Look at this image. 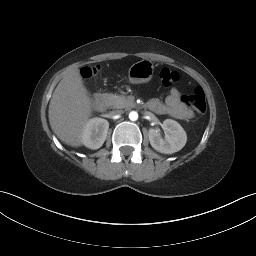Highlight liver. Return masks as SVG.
I'll list each match as a JSON object with an SVG mask.
<instances>
[{"label":"liver","instance_id":"1","mask_svg":"<svg viewBox=\"0 0 256 256\" xmlns=\"http://www.w3.org/2000/svg\"><path fill=\"white\" fill-rule=\"evenodd\" d=\"M48 114L51 129L62 142L72 147L82 145L83 129L92 114V101L79 69L70 70L59 82Z\"/></svg>","mask_w":256,"mask_h":256}]
</instances>
